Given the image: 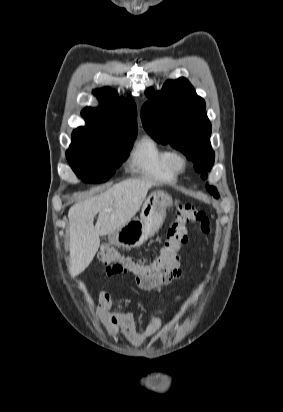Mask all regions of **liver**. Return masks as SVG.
I'll return each mask as SVG.
<instances>
[{
    "instance_id": "1",
    "label": "liver",
    "mask_w": 283,
    "mask_h": 412,
    "mask_svg": "<svg viewBox=\"0 0 283 412\" xmlns=\"http://www.w3.org/2000/svg\"><path fill=\"white\" fill-rule=\"evenodd\" d=\"M153 185L147 178L128 179L69 209L71 277L82 273L92 262L100 246V236L114 233L136 215ZM108 208L112 211L104 212Z\"/></svg>"
}]
</instances>
